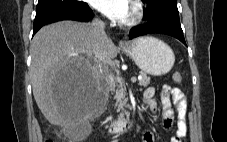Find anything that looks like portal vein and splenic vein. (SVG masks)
<instances>
[{"label":"portal vein and splenic vein","mask_w":227,"mask_h":142,"mask_svg":"<svg viewBox=\"0 0 227 142\" xmlns=\"http://www.w3.org/2000/svg\"><path fill=\"white\" fill-rule=\"evenodd\" d=\"M139 78H141V77H139ZM136 80H137L136 77H132V78H131V82H133V83H135Z\"/></svg>","instance_id":"portal-vein-and-splenic-vein-1"}]
</instances>
